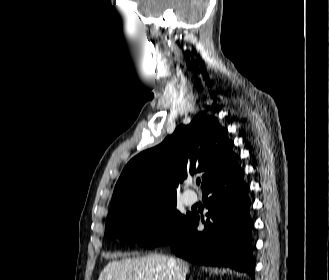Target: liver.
Wrapping results in <instances>:
<instances>
[{"mask_svg":"<svg viewBox=\"0 0 329 280\" xmlns=\"http://www.w3.org/2000/svg\"><path fill=\"white\" fill-rule=\"evenodd\" d=\"M169 257L151 254L144 257L125 258L109 262L101 271L98 280H175ZM186 277L189 264L172 258Z\"/></svg>","mask_w":329,"mask_h":280,"instance_id":"obj_1","label":"liver"}]
</instances>
